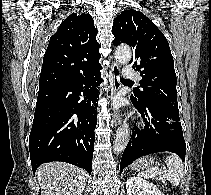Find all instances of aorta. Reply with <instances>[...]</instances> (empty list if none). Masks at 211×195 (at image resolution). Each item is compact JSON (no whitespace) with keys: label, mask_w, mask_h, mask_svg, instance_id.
Returning a JSON list of instances; mask_svg holds the SVG:
<instances>
[{"label":"aorta","mask_w":211,"mask_h":195,"mask_svg":"<svg viewBox=\"0 0 211 195\" xmlns=\"http://www.w3.org/2000/svg\"><path fill=\"white\" fill-rule=\"evenodd\" d=\"M132 57V52L128 46H119L115 51V59L119 64H127ZM130 138V131L127 126L119 127L115 134L113 148L116 152H122L126 148Z\"/></svg>","instance_id":"1"}]
</instances>
